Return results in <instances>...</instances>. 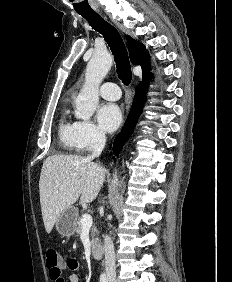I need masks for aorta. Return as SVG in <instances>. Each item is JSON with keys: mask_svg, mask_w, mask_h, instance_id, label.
<instances>
[{"mask_svg": "<svg viewBox=\"0 0 232 282\" xmlns=\"http://www.w3.org/2000/svg\"><path fill=\"white\" fill-rule=\"evenodd\" d=\"M112 66V57L106 50L96 51L86 67L85 81L76 99L75 116L89 120L99 101V86ZM117 172L113 174V184H117Z\"/></svg>", "mask_w": 232, "mask_h": 282, "instance_id": "obj_1", "label": "aorta"}]
</instances>
